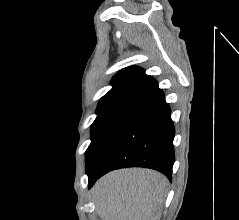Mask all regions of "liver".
I'll list each match as a JSON object with an SVG mask.
<instances>
[{"label":"liver","instance_id":"1","mask_svg":"<svg viewBox=\"0 0 239 220\" xmlns=\"http://www.w3.org/2000/svg\"><path fill=\"white\" fill-rule=\"evenodd\" d=\"M168 180L141 168L112 171L93 187L101 220H160Z\"/></svg>","mask_w":239,"mask_h":220}]
</instances>
